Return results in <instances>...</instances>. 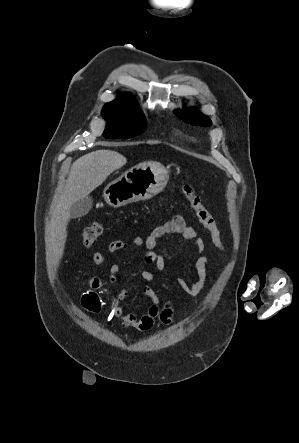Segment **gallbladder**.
I'll list each match as a JSON object with an SVG mask.
<instances>
[{"label": "gallbladder", "mask_w": 299, "mask_h": 443, "mask_svg": "<svg viewBox=\"0 0 299 443\" xmlns=\"http://www.w3.org/2000/svg\"><path fill=\"white\" fill-rule=\"evenodd\" d=\"M92 202L93 200L90 196L75 201L70 207V217L79 218L88 214L92 208Z\"/></svg>", "instance_id": "bac80fb5"}]
</instances>
